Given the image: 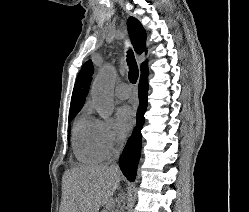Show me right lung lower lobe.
<instances>
[{
  "label": "right lung lower lobe",
  "instance_id": "98d812e1",
  "mask_svg": "<svg viewBox=\"0 0 249 212\" xmlns=\"http://www.w3.org/2000/svg\"><path fill=\"white\" fill-rule=\"evenodd\" d=\"M148 70L147 67L141 70V78L139 82V108L137 111V125L134 128L131 137L128 139L126 146L119 159V165L123 174L128 180L134 181L136 176L137 164L140 158L141 151V129L144 124V113L147 108V82Z\"/></svg>",
  "mask_w": 249,
  "mask_h": 212
}]
</instances>
